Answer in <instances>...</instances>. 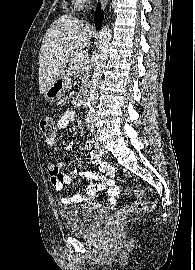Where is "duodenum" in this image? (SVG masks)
<instances>
[{
    "instance_id": "1",
    "label": "duodenum",
    "mask_w": 195,
    "mask_h": 270,
    "mask_svg": "<svg viewBox=\"0 0 195 270\" xmlns=\"http://www.w3.org/2000/svg\"><path fill=\"white\" fill-rule=\"evenodd\" d=\"M86 100H87V96H86V94H84V95L82 96L81 101H82L83 104H85V103H86Z\"/></svg>"
}]
</instances>
